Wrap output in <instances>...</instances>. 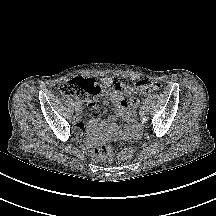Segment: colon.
<instances>
[{"label": "colon", "mask_w": 216, "mask_h": 216, "mask_svg": "<svg viewBox=\"0 0 216 216\" xmlns=\"http://www.w3.org/2000/svg\"><path fill=\"white\" fill-rule=\"evenodd\" d=\"M133 88L138 95H149L159 91L161 86L157 82L139 81ZM59 91L64 96L76 97L87 103L95 102L103 93L102 87L94 79L81 77L64 82ZM99 152L103 156H115L117 163L127 162L133 156L131 148L126 147L117 151L112 145L101 146Z\"/></svg>", "instance_id": "5ec220e1"}]
</instances>
